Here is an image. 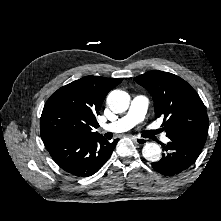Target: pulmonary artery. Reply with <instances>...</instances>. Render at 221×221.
Masks as SVG:
<instances>
[{"instance_id":"e3ab8cb5","label":"pulmonary artery","mask_w":221,"mask_h":221,"mask_svg":"<svg viewBox=\"0 0 221 221\" xmlns=\"http://www.w3.org/2000/svg\"><path fill=\"white\" fill-rule=\"evenodd\" d=\"M148 106V98L142 95H137L132 99L129 110L124 116L111 124L103 125L102 129L115 133L125 132L145 118ZM163 141L168 142V138L163 137Z\"/></svg>"}]
</instances>
